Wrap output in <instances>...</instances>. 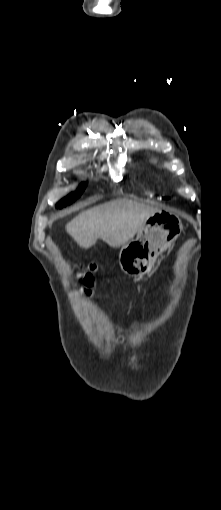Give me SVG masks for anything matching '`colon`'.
<instances>
[{
  "label": "colon",
  "instance_id": "1",
  "mask_svg": "<svg viewBox=\"0 0 221 510\" xmlns=\"http://www.w3.org/2000/svg\"><path fill=\"white\" fill-rule=\"evenodd\" d=\"M95 270L96 266L94 264H87L83 267V270L80 273V279L82 281L84 294L86 296L91 294V288L94 284L93 273Z\"/></svg>",
  "mask_w": 221,
  "mask_h": 510
}]
</instances>
